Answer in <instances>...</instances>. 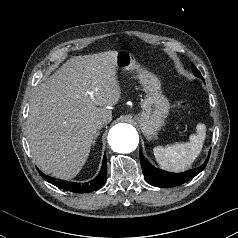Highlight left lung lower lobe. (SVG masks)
Here are the masks:
<instances>
[{"mask_svg": "<svg viewBox=\"0 0 238 238\" xmlns=\"http://www.w3.org/2000/svg\"><path fill=\"white\" fill-rule=\"evenodd\" d=\"M208 158L202 166L196 169H192L183 173H170L152 166L140 151V161L144 178L146 179L147 182H149L153 186L164 188L178 186L193 179L205 168L208 162Z\"/></svg>", "mask_w": 238, "mask_h": 238, "instance_id": "1", "label": "left lung lower lobe"}]
</instances>
